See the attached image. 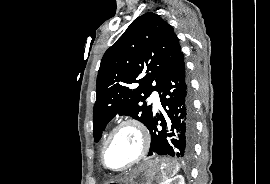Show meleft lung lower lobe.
<instances>
[{
	"label": "left lung lower lobe",
	"mask_w": 270,
	"mask_h": 184,
	"mask_svg": "<svg viewBox=\"0 0 270 184\" xmlns=\"http://www.w3.org/2000/svg\"><path fill=\"white\" fill-rule=\"evenodd\" d=\"M166 115L156 114L147 127L151 134L148 156L160 155L190 160L194 152L195 120L191 89L181 52L158 88ZM161 121V129L157 128Z\"/></svg>",
	"instance_id": "left-lung-lower-lobe-1"
}]
</instances>
